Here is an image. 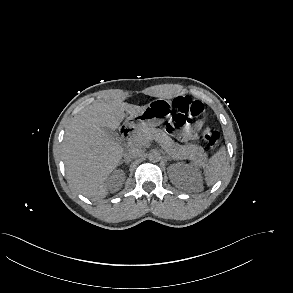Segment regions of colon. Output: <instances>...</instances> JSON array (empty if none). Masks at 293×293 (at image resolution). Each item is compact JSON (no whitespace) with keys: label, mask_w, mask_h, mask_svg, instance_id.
<instances>
[{"label":"colon","mask_w":293,"mask_h":293,"mask_svg":"<svg viewBox=\"0 0 293 293\" xmlns=\"http://www.w3.org/2000/svg\"><path fill=\"white\" fill-rule=\"evenodd\" d=\"M172 106L175 112L166 124V131L171 134H177L187 122L200 116L204 111V106L200 101L192 100L188 96L176 97ZM203 137L210 148L216 149L220 146L219 132L205 128Z\"/></svg>","instance_id":"1"}]
</instances>
